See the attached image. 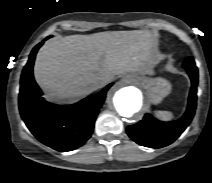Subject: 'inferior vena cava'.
<instances>
[{
  "label": "inferior vena cava",
  "instance_id": "602c4592",
  "mask_svg": "<svg viewBox=\"0 0 212 183\" xmlns=\"http://www.w3.org/2000/svg\"><path fill=\"white\" fill-rule=\"evenodd\" d=\"M108 82H109V80L106 78H97L93 83V87L95 89H99V88L106 86L108 84Z\"/></svg>",
  "mask_w": 212,
  "mask_h": 183
}]
</instances>
